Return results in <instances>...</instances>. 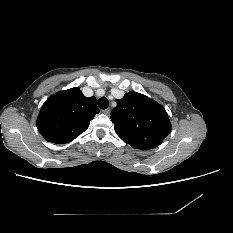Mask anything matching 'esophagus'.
Instances as JSON below:
<instances>
[{"label": "esophagus", "instance_id": "34e87169", "mask_svg": "<svg viewBox=\"0 0 233 233\" xmlns=\"http://www.w3.org/2000/svg\"><path fill=\"white\" fill-rule=\"evenodd\" d=\"M102 112H103L104 114H106V115H109L110 112H111V110H110V108H107V109L103 110Z\"/></svg>", "mask_w": 233, "mask_h": 233}]
</instances>
